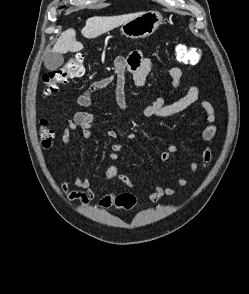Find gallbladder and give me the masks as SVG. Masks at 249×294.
I'll use <instances>...</instances> for the list:
<instances>
[{"label": "gallbladder", "instance_id": "gallbladder-1", "mask_svg": "<svg viewBox=\"0 0 249 294\" xmlns=\"http://www.w3.org/2000/svg\"><path fill=\"white\" fill-rule=\"evenodd\" d=\"M64 63V57L61 53L52 52L44 59V65L47 70H56Z\"/></svg>", "mask_w": 249, "mask_h": 294}]
</instances>
